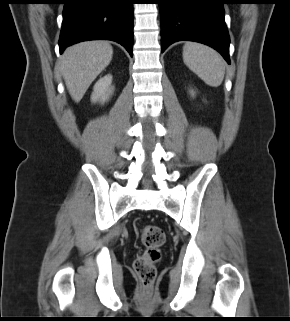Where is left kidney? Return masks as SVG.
<instances>
[{"label": "left kidney", "mask_w": 290, "mask_h": 321, "mask_svg": "<svg viewBox=\"0 0 290 321\" xmlns=\"http://www.w3.org/2000/svg\"><path fill=\"white\" fill-rule=\"evenodd\" d=\"M191 94H192V95H194V92H193V91H191Z\"/></svg>", "instance_id": "left-kidney-1"}]
</instances>
